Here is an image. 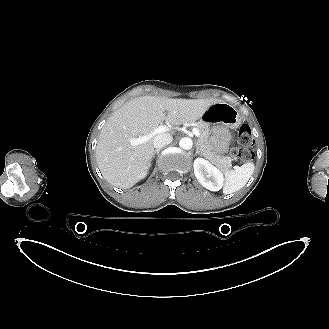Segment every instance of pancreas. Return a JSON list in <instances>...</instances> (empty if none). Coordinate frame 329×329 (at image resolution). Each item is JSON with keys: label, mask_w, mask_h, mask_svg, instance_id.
<instances>
[{"label": "pancreas", "mask_w": 329, "mask_h": 329, "mask_svg": "<svg viewBox=\"0 0 329 329\" xmlns=\"http://www.w3.org/2000/svg\"><path fill=\"white\" fill-rule=\"evenodd\" d=\"M193 125L200 132V138L197 143L203 153V156L212 164L219 167L222 171H226L231 168V159L229 157L219 155V153L216 152L211 146V143L208 140L211 133L209 125L202 121L193 123Z\"/></svg>", "instance_id": "cf45deb5"}]
</instances>
